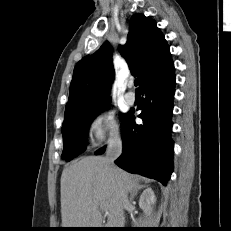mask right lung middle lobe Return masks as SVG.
Listing matches in <instances>:
<instances>
[{
	"instance_id": "1",
	"label": "right lung middle lobe",
	"mask_w": 231,
	"mask_h": 231,
	"mask_svg": "<svg viewBox=\"0 0 231 231\" xmlns=\"http://www.w3.org/2000/svg\"><path fill=\"white\" fill-rule=\"evenodd\" d=\"M107 106L108 104L105 103L87 110L65 114L62 124L63 159L69 161L86 150L89 126ZM125 115L120 114V118L123 119Z\"/></svg>"
}]
</instances>
